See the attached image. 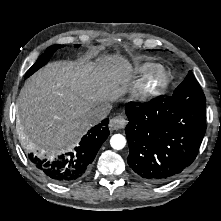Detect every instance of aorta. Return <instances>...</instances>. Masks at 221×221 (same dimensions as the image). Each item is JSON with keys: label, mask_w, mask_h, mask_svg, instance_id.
Listing matches in <instances>:
<instances>
[{"label": "aorta", "mask_w": 221, "mask_h": 221, "mask_svg": "<svg viewBox=\"0 0 221 221\" xmlns=\"http://www.w3.org/2000/svg\"><path fill=\"white\" fill-rule=\"evenodd\" d=\"M110 145L116 150L123 149L126 145V139L121 134H114L110 139Z\"/></svg>", "instance_id": "aorta-1"}]
</instances>
